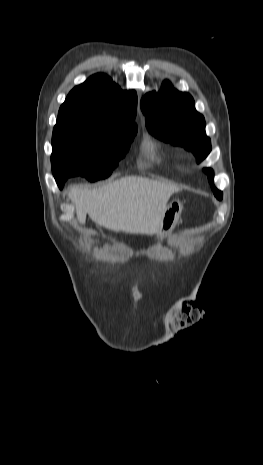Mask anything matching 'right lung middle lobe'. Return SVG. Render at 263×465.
I'll return each mask as SVG.
<instances>
[{"mask_svg": "<svg viewBox=\"0 0 263 465\" xmlns=\"http://www.w3.org/2000/svg\"><path fill=\"white\" fill-rule=\"evenodd\" d=\"M136 133L134 121L58 113L51 155L55 179L81 175L96 181L108 177L125 156Z\"/></svg>", "mask_w": 263, "mask_h": 465, "instance_id": "dd1d6c3e", "label": "right lung middle lobe"}]
</instances>
